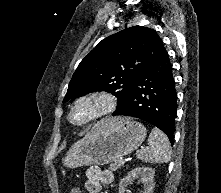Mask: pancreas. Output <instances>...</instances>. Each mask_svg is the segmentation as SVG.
I'll list each match as a JSON object with an SVG mask.
<instances>
[{
  "label": "pancreas",
  "mask_w": 221,
  "mask_h": 193,
  "mask_svg": "<svg viewBox=\"0 0 221 193\" xmlns=\"http://www.w3.org/2000/svg\"><path fill=\"white\" fill-rule=\"evenodd\" d=\"M124 165V162H122L121 160H116L114 163L109 165V169L112 171H116L119 168H121Z\"/></svg>",
  "instance_id": "pancreas-1"
}]
</instances>
